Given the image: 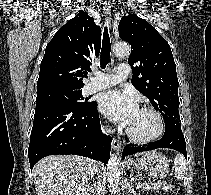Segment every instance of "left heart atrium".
<instances>
[{
    "instance_id": "39dd6f15",
    "label": "left heart atrium",
    "mask_w": 211,
    "mask_h": 195,
    "mask_svg": "<svg viewBox=\"0 0 211 195\" xmlns=\"http://www.w3.org/2000/svg\"><path fill=\"white\" fill-rule=\"evenodd\" d=\"M99 110L121 126L128 127L138 112L139 107L132 93L110 90L100 96Z\"/></svg>"
}]
</instances>
